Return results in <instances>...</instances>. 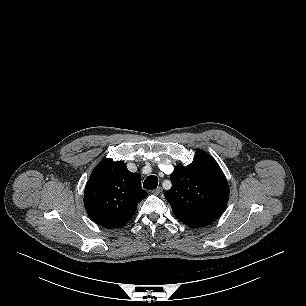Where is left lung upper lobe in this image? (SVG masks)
I'll return each instance as SVG.
<instances>
[{
	"label": "left lung upper lobe",
	"instance_id": "5c2ea615",
	"mask_svg": "<svg viewBox=\"0 0 306 306\" xmlns=\"http://www.w3.org/2000/svg\"><path fill=\"white\" fill-rule=\"evenodd\" d=\"M170 180L172 188L165 192V198L174 215L187 226H207L223 213L229 198L228 183L206 152L197 150L193 162L186 167L178 165Z\"/></svg>",
	"mask_w": 306,
	"mask_h": 306
}]
</instances>
